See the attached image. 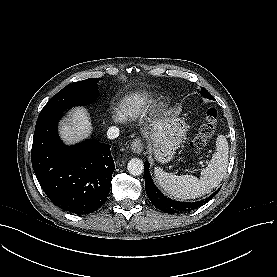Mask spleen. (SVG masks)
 <instances>
[{
    "label": "spleen",
    "instance_id": "1",
    "mask_svg": "<svg viewBox=\"0 0 277 277\" xmlns=\"http://www.w3.org/2000/svg\"><path fill=\"white\" fill-rule=\"evenodd\" d=\"M228 142L220 135L216 140V152L206 168L201 170L200 179L193 175H174L155 167V179L170 196L186 200L195 199L209 193L226 176L228 166Z\"/></svg>",
    "mask_w": 277,
    "mask_h": 277
}]
</instances>
